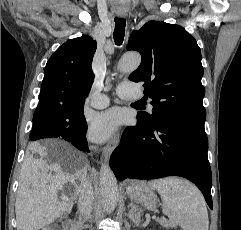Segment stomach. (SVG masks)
<instances>
[{
    "label": "stomach",
    "instance_id": "1",
    "mask_svg": "<svg viewBox=\"0 0 241 230\" xmlns=\"http://www.w3.org/2000/svg\"><path fill=\"white\" fill-rule=\"evenodd\" d=\"M126 192L130 199L143 205L149 210H155L157 207V196L154 188L145 182H133L128 185Z\"/></svg>",
    "mask_w": 241,
    "mask_h": 230
}]
</instances>
